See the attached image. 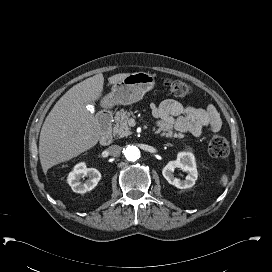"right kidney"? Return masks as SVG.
Masks as SVG:
<instances>
[{"label":"right kidney","mask_w":272,"mask_h":272,"mask_svg":"<svg viewBox=\"0 0 272 272\" xmlns=\"http://www.w3.org/2000/svg\"><path fill=\"white\" fill-rule=\"evenodd\" d=\"M84 177L88 179L82 183L80 180ZM101 173L95 168H87L84 162L74 166L73 171L68 175L67 182L76 193L84 194L92 190L100 181Z\"/></svg>","instance_id":"1"}]
</instances>
